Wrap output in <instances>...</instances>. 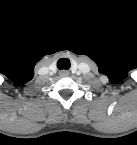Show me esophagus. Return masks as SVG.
<instances>
[{
    "label": "esophagus",
    "mask_w": 137,
    "mask_h": 145,
    "mask_svg": "<svg viewBox=\"0 0 137 145\" xmlns=\"http://www.w3.org/2000/svg\"><path fill=\"white\" fill-rule=\"evenodd\" d=\"M68 74H69V73H68L67 71H61V72H60V75H61V76H67Z\"/></svg>",
    "instance_id": "1"
}]
</instances>
